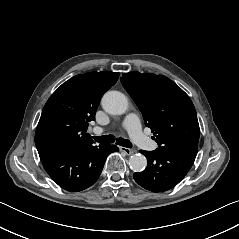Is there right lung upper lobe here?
<instances>
[{"mask_svg":"<svg viewBox=\"0 0 239 239\" xmlns=\"http://www.w3.org/2000/svg\"><path fill=\"white\" fill-rule=\"evenodd\" d=\"M119 73L89 72L63 83L46 102L35 133L38 152L93 144L88 122Z\"/></svg>","mask_w":239,"mask_h":239,"instance_id":"1","label":"right lung upper lobe"}]
</instances>
